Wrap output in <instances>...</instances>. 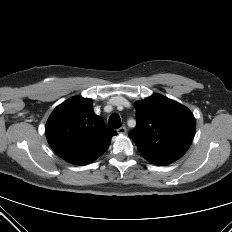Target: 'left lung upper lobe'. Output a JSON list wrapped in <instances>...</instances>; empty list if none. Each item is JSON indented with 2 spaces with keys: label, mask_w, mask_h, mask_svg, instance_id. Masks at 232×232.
Wrapping results in <instances>:
<instances>
[{
  "label": "left lung upper lobe",
  "mask_w": 232,
  "mask_h": 232,
  "mask_svg": "<svg viewBox=\"0 0 232 232\" xmlns=\"http://www.w3.org/2000/svg\"><path fill=\"white\" fill-rule=\"evenodd\" d=\"M137 125L129 137L142 156L155 165H167L188 150L196 129L191 111L162 95L135 103Z\"/></svg>",
  "instance_id": "5c2ea615"
}]
</instances>
